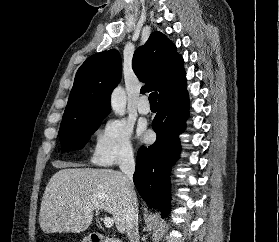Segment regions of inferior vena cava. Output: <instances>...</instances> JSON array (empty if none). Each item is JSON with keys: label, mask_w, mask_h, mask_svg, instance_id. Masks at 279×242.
Instances as JSON below:
<instances>
[{"label": "inferior vena cava", "mask_w": 279, "mask_h": 242, "mask_svg": "<svg viewBox=\"0 0 279 242\" xmlns=\"http://www.w3.org/2000/svg\"><path fill=\"white\" fill-rule=\"evenodd\" d=\"M120 170L127 177L125 187L128 196V206L126 212V233L130 242H139L138 231V207L137 197L134 191L133 174L135 171V160L132 151H129L120 163Z\"/></svg>", "instance_id": "602c4592"}]
</instances>
